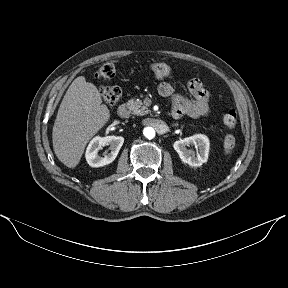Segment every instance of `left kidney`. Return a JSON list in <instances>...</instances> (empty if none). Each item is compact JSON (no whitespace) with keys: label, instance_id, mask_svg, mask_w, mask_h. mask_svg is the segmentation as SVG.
Wrapping results in <instances>:
<instances>
[{"label":"left kidney","instance_id":"1","mask_svg":"<svg viewBox=\"0 0 288 288\" xmlns=\"http://www.w3.org/2000/svg\"><path fill=\"white\" fill-rule=\"evenodd\" d=\"M192 145L195 146L196 153L194 150L187 149ZM173 147L181 160L190 166L199 167L208 160L210 143L207 136L203 134H196L176 141Z\"/></svg>","mask_w":288,"mask_h":288}]
</instances>
